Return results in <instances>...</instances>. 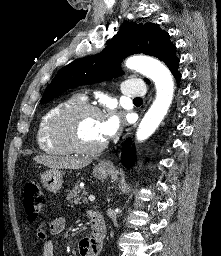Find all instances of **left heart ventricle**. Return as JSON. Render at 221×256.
Segmentation results:
<instances>
[{
  "label": "left heart ventricle",
  "instance_id": "obj_1",
  "mask_svg": "<svg viewBox=\"0 0 221 256\" xmlns=\"http://www.w3.org/2000/svg\"><path fill=\"white\" fill-rule=\"evenodd\" d=\"M102 117L95 114H85L78 118L75 125L77 141L86 147H93L104 141L101 133Z\"/></svg>",
  "mask_w": 221,
  "mask_h": 256
}]
</instances>
